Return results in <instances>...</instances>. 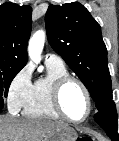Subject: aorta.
I'll use <instances>...</instances> for the list:
<instances>
[{"instance_id": "aorta-1", "label": "aorta", "mask_w": 119, "mask_h": 141, "mask_svg": "<svg viewBox=\"0 0 119 141\" xmlns=\"http://www.w3.org/2000/svg\"><path fill=\"white\" fill-rule=\"evenodd\" d=\"M45 43V32L43 30H39L33 34V36L29 40L28 44V54L30 59L39 63L41 60V53ZM42 69L39 67L38 70Z\"/></svg>"}]
</instances>
